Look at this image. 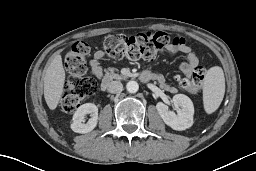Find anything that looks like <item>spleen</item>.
I'll list each match as a JSON object with an SVG mask.
<instances>
[{"label":"spleen","mask_w":256,"mask_h":171,"mask_svg":"<svg viewBox=\"0 0 256 171\" xmlns=\"http://www.w3.org/2000/svg\"><path fill=\"white\" fill-rule=\"evenodd\" d=\"M225 94V78L221 67H211L203 82V104L207 114L215 112Z\"/></svg>","instance_id":"1"}]
</instances>
